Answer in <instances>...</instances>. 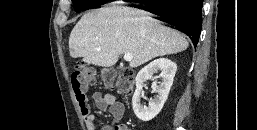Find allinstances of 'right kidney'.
I'll return each mask as SVG.
<instances>
[{"label": "right kidney", "instance_id": "1", "mask_svg": "<svg viewBox=\"0 0 257 130\" xmlns=\"http://www.w3.org/2000/svg\"><path fill=\"white\" fill-rule=\"evenodd\" d=\"M161 71L162 82L159 86L154 82L152 88L158 93L155 99L149 100L148 107L141 104L144 83L153 77V74ZM177 65L167 58H159L145 66L136 76V90L132 98L133 111L142 121H150L159 114L168 98L173 84Z\"/></svg>", "mask_w": 257, "mask_h": 130}]
</instances>
